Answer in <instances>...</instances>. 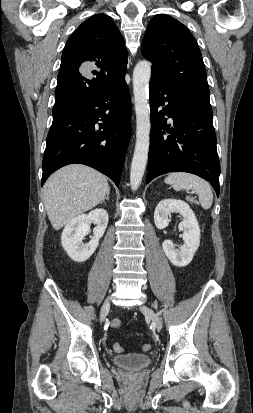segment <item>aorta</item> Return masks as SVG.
Returning a JSON list of instances; mask_svg holds the SVG:
<instances>
[{
    "mask_svg": "<svg viewBox=\"0 0 253 413\" xmlns=\"http://www.w3.org/2000/svg\"><path fill=\"white\" fill-rule=\"evenodd\" d=\"M151 63L139 61L133 71V93L136 112V143L131 162L130 185L136 191L142 181L150 145L149 81Z\"/></svg>",
    "mask_w": 253,
    "mask_h": 413,
    "instance_id": "1",
    "label": "aorta"
}]
</instances>
